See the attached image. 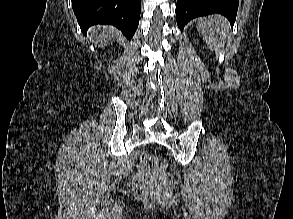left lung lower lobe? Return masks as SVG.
Wrapping results in <instances>:
<instances>
[{
  "instance_id": "obj_1",
  "label": "left lung lower lobe",
  "mask_w": 293,
  "mask_h": 219,
  "mask_svg": "<svg viewBox=\"0 0 293 219\" xmlns=\"http://www.w3.org/2000/svg\"><path fill=\"white\" fill-rule=\"evenodd\" d=\"M239 0H177L176 20L180 29L192 19L209 14L224 15L234 24Z\"/></svg>"
}]
</instances>
